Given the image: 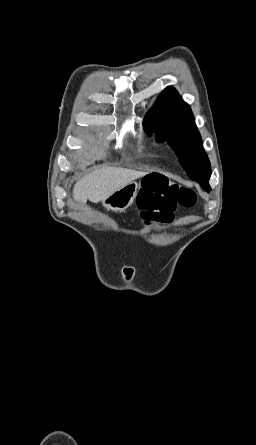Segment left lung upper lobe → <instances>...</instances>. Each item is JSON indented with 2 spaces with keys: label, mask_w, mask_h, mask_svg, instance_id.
I'll return each instance as SVG.
<instances>
[{
  "label": "left lung upper lobe",
  "mask_w": 256,
  "mask_h": 445,
  "mask_svg": "<svg viewBox=\"0 0 256 445\" xmlns=\"http://www.w3.org/2000/svg\"><path fill=\"white\" fill-rule=\"evenodd\" d=\"M143 126L149 136L155 132L157 141L167 140L192 180H209L210 162L204 152L194 116L190 106L172 86L161 92L147 112Z\"/></svg>",
  "instance_id": "obj_1"
}]
</instances>
